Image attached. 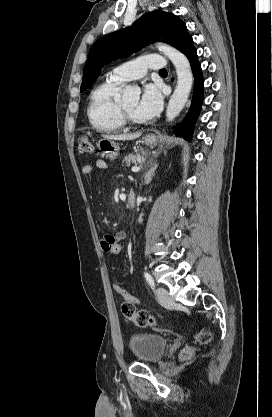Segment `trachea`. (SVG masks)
Segmentation results:
<instances>
[{
	"mask_svg": "<svg viewBox=\"0 0 272 417\" xmlns=\"http://www.w3.org/2000/svg\"><path fill=\"white\" fill-rule=\"evenodd\" d=\"M159 73H167L166 69H161Z\"/></svg>",
	"mask_w": 272,
	"mask_h": 417,
	"instance_id": "trachea-1",
	"label": "trachea"
}]
</instances>
